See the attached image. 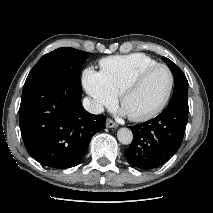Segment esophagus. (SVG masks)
<instances>
[{
	"instance_id": "esophagus-1",
	"label": "esophagus",
	"mask_w": 213,
	"mask_h": 213,
	"mask_svg": "<svg viewBox=\"0 0 213 213\" xmlns=\"http://www.w3.org/2000/svg\"><path fill=\"white\" fill-rule=\"evenodd\" d=\"M106 126L108 128H117L118 127V124L115 123L113 120L111 119H107V122H106Z\"/></svg>"
}]
</instances>
